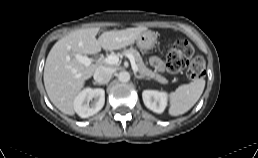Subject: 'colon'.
Listing matches in <instances>:
<instances>
[{
  "mask_svg": "<svg viewBox=\"0 0 258 158\" xmlns=\"http://www.w3.org/2000/svg\"><path fill=\"white\" fill-rule=\"evenodd\" d=\"M166 67L172 73L186 71L188 77L195 79L202 76L205 64L202 57L195 55L189 41L179 40L167 54Z\"/></svg>",
  "mask_w": 258,
  "mask_h": 158,
  "instance_id": "colon-1",
  "label": "colon"
}]
</instances>
